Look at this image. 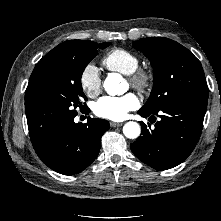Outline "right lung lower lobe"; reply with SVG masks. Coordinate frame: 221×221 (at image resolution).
Returning <instances> with one entry per match:
<instances>
[{
  "label": "right lung lower lobe",
  "mask_w": 221,
  "mask_h": 221,
  "mask_svg": "<svg viewBox=\"0 0 221 221\" xmlns=\"http://www.w3.org/2000/svg\"><path fill=\"white\" fill-rule=\"evenodd\" d=\"M25 110L33 147L49 168L73 175L96 159L101 137L109 129L107 120L88 117L87 123L76 124V110L36 99L25 101Z\"/></svg>",
  "instance_id": "obj_1"
}]
</instances>
